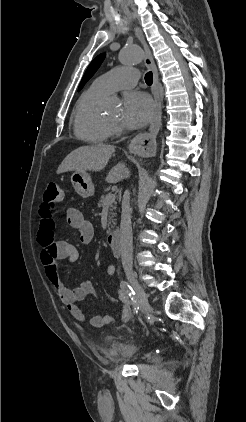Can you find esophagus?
Listing matches in <instances>:
<instances>
[{"label": "esophagus", "instance_id": "1", "mask_svg": "<svg viewBox=\"0 0 246 422\" xmlns=\"http://www.w3.org/2000/svg\"><path fill=\"white\" fill-rule=\"evenodd\" d=\"M135 33L139 41L141 42L145 56L144 63L153 73V85L152 92L155 102V112L150 123L149 131L147 133L140 134L136 136L130 143L129 150L131 153L146 156L155 153L156 150V137L161 128V118H162V106L159 95V77L158 71L152 56V53L144 39L143 34L139 28H135Z\"/></svg>", "mask_w": 246, "mask_h": 422}]
</instances>
